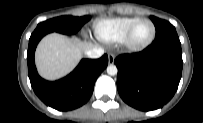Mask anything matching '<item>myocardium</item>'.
<instances>
[{"mask_svg":"<svg viewBox=\"0 0 203 123\" xmlns=\"http://www.w3.org/2000/svg\"><path fill=\"white\" fill-rule=\"evenodd\" d=\"M143 22H149L152 25V28H153L152 35L146 42H144L142 44H135L132 41L133 33H134L135 29L138 27V25ZM155 36H156V26H155L154 22L148 18H140L139 20H137L134 24H132L129 27V29L125 33L121 42H122L123 46L130 51H140V50H143L146 47H148L154 41Z\"/></svg>","mask_w":203,"mask_h":123,"instance_id":"1","label":"myocardium"}]
</instances>
